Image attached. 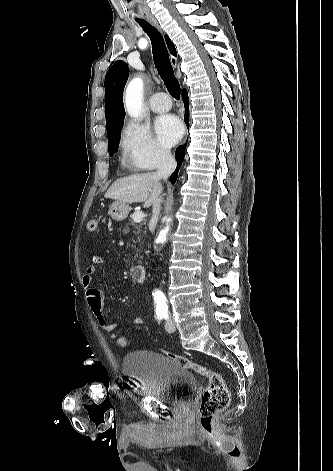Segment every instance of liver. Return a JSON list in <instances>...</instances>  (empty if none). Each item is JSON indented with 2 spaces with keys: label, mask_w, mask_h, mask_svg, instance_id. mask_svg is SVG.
Instances as JSON below:
<instances>
[{
  "label": "liver",
  "mask_w": 333,
  "mask_h": 471,
  "mask_svg": "<svg viewBox=\"0 0 333 471\" xmlns=\"http://www.w3.org/2000/svg\"><path fill=\"white\" fill-rule=\"evenodd\" d=\"M162 185L154 172L133 174L117 179L105 193V198L122 203L144 202L145 208L160 199Z\"/></svg>",
  "instance_id": "liver-1"
}]
</instances>
